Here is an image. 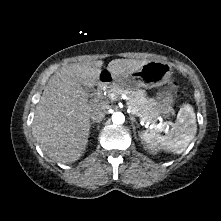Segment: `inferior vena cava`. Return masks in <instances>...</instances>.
Wrapping results in <instances>:
<instances>
[{
    "mask_svg": "<svg viewBox=\"0 0 221 221\" xmlns=\"http://www.w3.org/2000/svg\"><path fill=\"white\" fill-rule=\"evenodd\" d=\"M108 109L106 104H95L91 110L90 117L93 121H101Z\"/></svg>",
    "mask_w": 221,
    "mask_h": 221,
    "instance_id": "inferior-vena-cava-1",
    "label": "inferior vena cava"
}]
</instances>
